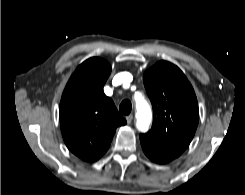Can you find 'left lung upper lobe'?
<instances>
[{"label":"left lung upper lobe","instance_id":"1","mask_svg":"<svg viewBox=\"0 0 245 195\" xmlns=\"http://www.w3.org/2000/svg\"><path fill=\"white\" fill-rule=\"evenodd\" d=\"M144 85L153 106V125L140 137L183 152L199 121L197 98L191 84L177 66L160 61L144 73Z\"/></svg>","mask_w":245,"mask_h":195}]
</instances>
